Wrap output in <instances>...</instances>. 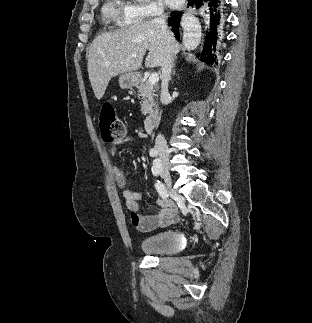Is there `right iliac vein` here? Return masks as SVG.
<instances>
[{"instance_id": "63e3f726", "label": "right iliac vein", "mask_w": 312, "mask_h": 323, "mask_svg": "<svg viewBox=\"0 0 312 323\" xmlns=\"http://www.w3.org/2000/svg\"><path fill=\"white\" fill-rule=\"evenodd\" d=\"M159 171H160V174H161L162 178H163V179H164V181H165V184H166L167 188H168L169 190L173 191V190H172V181H171V176H170V172H169L168 167H167V166H161ZM175 196H176V197H179V195H178V194H175Z\"/></svg>"}]
</instances>
